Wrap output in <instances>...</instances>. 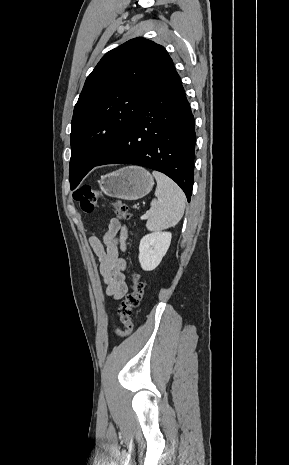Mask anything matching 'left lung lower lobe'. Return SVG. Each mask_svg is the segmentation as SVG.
<instances>
[{"label":"left lung lower lobe","mask_w":289,"mask_h":465,"mask_svg":"<svg viewBox=\"0 0 289 465\" xmlns=\"http://www.w3.org/2000/svg\"><path fill=\"white\" fill-rule=\"evenodd\" d=\"M195 142L194 117L175 72L146 98L135 119L95 166L122 163L160 171L190 201Z\"/></svg>","instance_id":"obj_1"}]
</instances>
